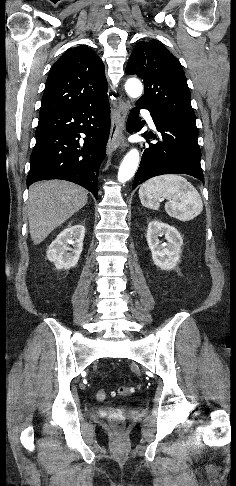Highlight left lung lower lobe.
I'll use <instances>...</instances> for the list:
<instances>
[{
	"mask_svg": "<svg viewBox=\"0 0 236 486\" xmlns=\"http://www.w3.org/2000/svg\"><path fill=\"white\" fill-rule=\"evenodd\" d=\"M136 105L137 108L131 111L127 121L128 131L137 132L142 129L138 110L142 108L150 111L161 136L158 143L149 144L143 148L142 160L132 189L144 181L162 174H187L204 183L197 127L171 120L147 104L137 102ZM143 136L148 139L146 133Z\"/></svg>",
	"mask_w": 236,
	"mask_h": 486,
	"instance_id": "0a47b994",
	"label": "left lung lower lobe"
}]
</instances>
